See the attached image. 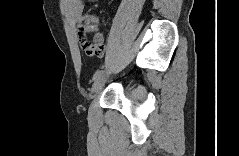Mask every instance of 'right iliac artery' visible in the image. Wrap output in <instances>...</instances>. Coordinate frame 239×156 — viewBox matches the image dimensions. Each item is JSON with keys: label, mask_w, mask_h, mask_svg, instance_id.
Returning a JSON list of instances; mask_svg holds the SVG:
<instances>
[{"label": "right iliac artery", "mask_w": 239, "mask_h": 156, "mask_svg": "<svg viewBox=\"0 0 239 156\" xmlns=\"http://www.w3.org/2000/svg\"><path fill=\"white\" fill-rule=\"evenodd\" d=\"M103 74V70H98L92 78V81H96Z\"/></svg>", "instance_id": "obj_1"}]
</instances>
